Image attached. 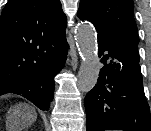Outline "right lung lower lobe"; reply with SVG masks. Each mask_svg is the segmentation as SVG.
<instances>
[{
	"label": "right lung lower lobe",
	"mask_w": 151,
	"mask_h": 131,
	"mask_svg": "<svg viewBox=\"0 0 151 131\" xmlns=\"http://www.w3.org/2000/svg\"><path fill=\"white\" fill-rule=\"evenodd\" d=\"M68 44L66 37L47 50V60L44 66L34 74L18 81L4 94L21 95L33 102L39 109L48 111L53 99L54 77L64 66Z\"/></svg>",
	"instance_id": "right-lung-lower-lobe-1"
}]
</instances>
